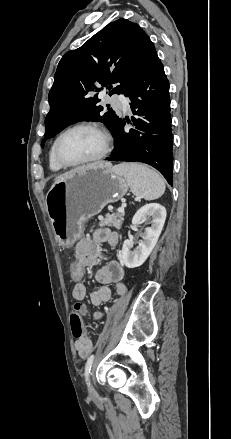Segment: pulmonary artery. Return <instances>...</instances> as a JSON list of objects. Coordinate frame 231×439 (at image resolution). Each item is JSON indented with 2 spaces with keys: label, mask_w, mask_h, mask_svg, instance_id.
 <instances>
[{
  "label": "pulmonary artery",
  "mask_w": 231,
  "mask_h": 439,
  "mask_svg": "<svg viewBox=\"0 0 231 439\" xmlns=\"http://www.w3.org/2000/svg\"><path fill=\"white\" fill-rule=\"evenodd\" d=\"M114 105L119 110H128L129 109V102L128 99L124 95H117L114 98Z\"/></svg>",
  "instance_id": "e3ab8cb5"
}]
</instances>
